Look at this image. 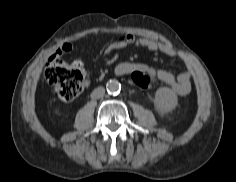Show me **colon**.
<instances>
[{
  "mask_svg": "<svg viewBox=\"0 0 236 182\" xmlns=\"http://www.w3.org/2000/svg\"><path fill=\"white\" fill-rule=\"evenodd\" d=\"M44 76L53 92L63 101L74 100L83 91L87 83L86 71L81 62L67 64L53 55L49 58ZM132 83L145 90L152 85L151 77L140 70L130 72Z\"/></svg>",
  "mask_w": 236,
  "mask_h": 182,
  "instance_id": "colon-1",
  "label": "colon"
}]
</instances>
